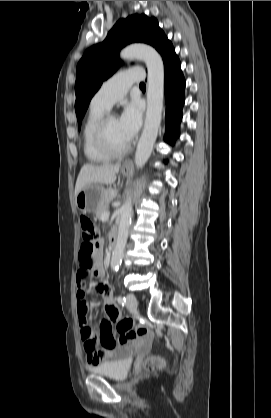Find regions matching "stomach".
<instances>
[{
	"label": "stomach",
	"mask_w": 271,
	"mask_h": 418,
	"mask_svg": "<svg viewBox=\"0 0 271 418\" xmlns=\"http://www.w3.org/2000/svg\"><path fill=\"white\" fill-rule=\"evenodd\" d=\"M122 173L128 175L129 169L122 168ZM106 189L100 183H92L84 187L76 196L75 203L82 213H95L101 203Z\"/></svg>",
	"instance_id": "0dacf381"
}]
</instances>
